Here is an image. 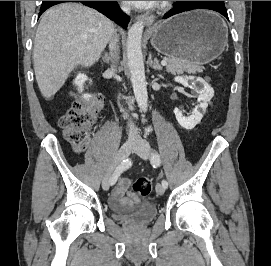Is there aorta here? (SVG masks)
<instances>
[{
  "label": "aorta",
  "mask_w": 271,
  "mask_h": 266,
  "mask_svg": "<svg viewBox=\"0 0 271 266\" xmlns=\"http://www.w3.org/2000/svg\"><path fill=\"white\" fill-rule=\"evenodd\" d=\"M143 30L144 22L142 21L135 22L129 28L127 37V58L136 102L140 110L146 112L148 108V93L141 47ZM147 131L150 132L151 129L148 128Z\"/></svg>",
  "instance_id": "762f6f07"
}]
</instances>
